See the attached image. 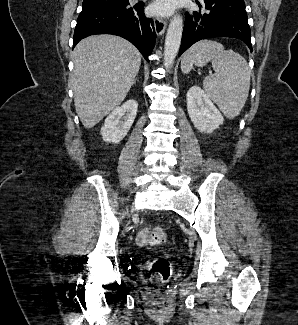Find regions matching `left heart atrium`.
<instances>
[{"mask_svg": "<svg viewBox=\"0 0 298 325\" xmlns=\"http://www.w3.org/2000/svg\"><path fill=\"white\" fill-rule=\"evenodd\" d=\"M173 8V3L169 0H159L153 3L151 6V11L154 14L165 15L171 12Z\"/></svg>", "mask_w": 298, "mask_h": 325, "instance_id": "obj_1", "label": "left heart atrium"}]
</instances>
